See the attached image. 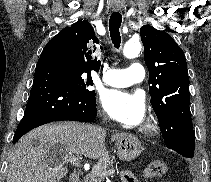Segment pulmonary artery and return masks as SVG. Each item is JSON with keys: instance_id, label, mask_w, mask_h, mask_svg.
<instances>
[{"instance_id": "obj_1", "label": "pulmonary artery", "mask_w": 211, "mask_h": 182, "mask_svg": "<svg viewBox=\"0 0 211 182\" xmlns=\"http://www.w3.org/2000/svg\"><path fill=\"white\" fill-rule=\"evenodd\" d=\"M145 69L140 63H133L127 69H109L103 76L106 84L114 87H126L143 81Z\"/></svg>"}]
</instances>
